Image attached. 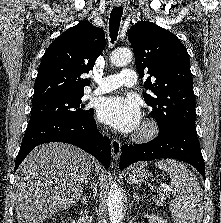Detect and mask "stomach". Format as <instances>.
Returning <instances> with one entry per match:
<instances>
[{
    "instance_id": "stomach-1",
    "label": "stomach",
    "mask_w": 221,
    "mask_h": 223,
    "mask_svg": "<svg viewBox=\"0 0 221 223\" xmlns=\"http://www.w3.org/2000/svg\"><path fill=\"white\" fill-rule=\"evenodd\" d=\"M150 172L144 167H135L131 170L129 178L133 183L143 182L148 180Z\"/></svg>"
}]
</instances>
